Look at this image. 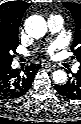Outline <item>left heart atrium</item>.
Here are the masks:
<instances>
[{"mask_svg": "<svg viewBox=\"0 0 81 124\" xmlns=\"http://www.w3.org/2000/svg\"><path fill=\"white\" fill-rule=\"evenodd\" d=\"M56 48H57V45H56V44H53V45H51V46L48 48V52H49L50 54H52Z\"/></svg>", "mask_w": 81, "mask_h": 124, "instance_id": "left-heart-atrium-1", "label": "left heart atrium"}]
</instances>
